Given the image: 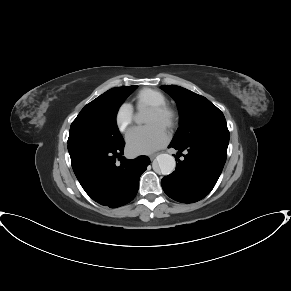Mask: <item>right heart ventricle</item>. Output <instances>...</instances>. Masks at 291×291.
Wrapping results in <instances>:
<instances>
[{"label":"right heart ventricle","instance_id":"e07e8e85","mask_svg":"<svg viewBox=\"0 0 291 291\" xmlns=\"http://www.w3.org/2000/svg\"><path fill=\"white\" fill-rule=\"evenodd\" d=\"M165 95L159 90L152 88L141 89L134 98V103L138 109L143 107L165 105Z\"/></svg>","mask_w":291,"mask_h":291}]
</instances>
